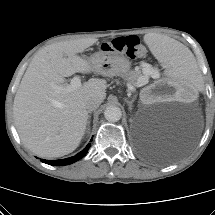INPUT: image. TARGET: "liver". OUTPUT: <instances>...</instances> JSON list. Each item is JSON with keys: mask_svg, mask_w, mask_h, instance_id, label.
<instances>
[{"mask_svg": "<svg viewBox=\"0 0 215 215\" xmlns=\"http://www.w3.org/2000/svg\"><path fill=\"white\" fill-rule=\"evenodd\" d=\"M98 39L81 38L52 43L40 49L29 64L17 90L13 115L24 146L41 158L73 152L85 134L86 102L106 98V81L91 78L73 91H58L65 77L93 72L88 59L78 53Z\"/></svg>", "mask_w": 215, "mask_h": 215, "instance_id": "6515ba94", "label": "liver"}]
</instances>
